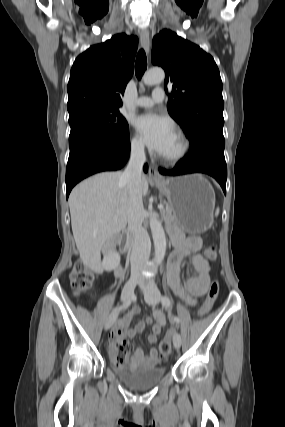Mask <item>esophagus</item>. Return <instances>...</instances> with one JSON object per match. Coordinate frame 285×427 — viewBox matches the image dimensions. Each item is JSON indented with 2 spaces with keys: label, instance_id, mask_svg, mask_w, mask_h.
I'll return each instance as SVG.
<instances>
[{
  "label": "esophagus",
  "instance_id": "obj_1",
  "mask_svg": "<svg viewBox=\"0 0 285 427\" xmlns=\"http://www.w3.org/2000/svg\"><path fill=\"white\" fill-rule=\"evenodd\" d=\"M141 43L146 53L150 52V37L147 30H142L141 32ZM149 179L154 181L162 180V177L159 175L157 169L154 166L149 167Z\"/></svg>",
  "mask_w": 285,
  "mask_h": 427
}]
</instances>
